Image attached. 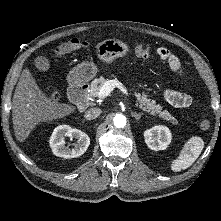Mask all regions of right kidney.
Returning <instances> with one entry per match:
<instances>
[{
  "mask_svg": "<svg viewBox=\"0 0 221 221\" xmlns=\"http://www.w3.org/2000/svg\"><path fill=\"white\" fill-rule=\"evenodd\" d=\"M65 137L75 138L74 148L65 146ZM53 153L58 157L75 158L84 154L90 145V138L81 130L72 129L68 125L56 127L49 140Z\"/></svg>",
  "mask_w": 221,
  "mask_h": 221,
  "instance_id": "obj_1",
  "label": "right kidney"
}]
</instances>
